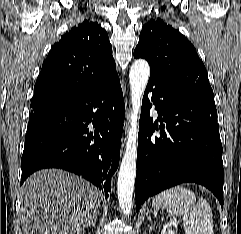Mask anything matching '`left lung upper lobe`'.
Returning <instances> with one entry per match:
<instances>
[{
	"label": "left lung upper lobe",
	"mask_w": 241,
	"mask_h": 234,
	"mask_svg": "<svg viewBox=\"0 0 241 234\" xmlns=\"http://www.w3.org/2000/svg\"><path fill=\"white\" fill-rule=\"evenodd\" d=\"M139 38L134 57L149 62L151 75L214 101L203 62L178 30L161 19H152L143 26Z\"/></svg>",
	"instance_id": "5c2ea615"
}]
</instances>
